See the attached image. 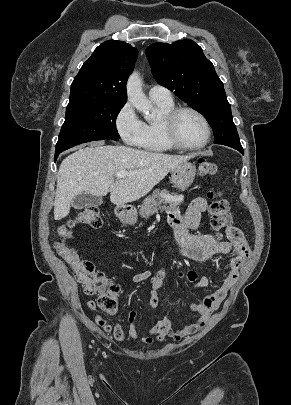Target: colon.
I'll use <instances>...</instances> for the list:
<instances>
[{"label": "colon", "instance_id": "5ec220e1", "mask_svg": "<svg viewBox=\"0 0 291 405\" xmlns=\"http://www.w3.org/2000/svg\"><path fill=\"white\" fill-rule=\"evenodd\" d=\"M198 171L203 176H213L217 173V167L206 159H200L198 161ZM209 197L211 199L209 203L211 225L215 230L221 231L230 225L229 203L222 197L220 191L211 192ZM76 225L97 229L102 225V220L96 208H86L78 213L67 225L60 228L61 237L63 239L68 238L71 229ZM55 247L58 254L72 269L76 280L83 286L84 292L87 295H96L98 297V306L103 311L109 314L114 313L117 309L119 286L109 281L102 272L97 271L92 262L81 259L76 251L68 247L63 240L57 242ZM180 276H183V274H180ZM185 276L189 280L195 279L193 272H189Z\"/></svg>", "mask_w": 291, "mask_h": 405}]
</instances>
